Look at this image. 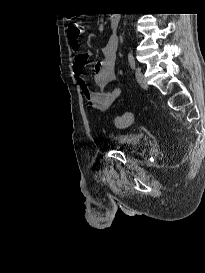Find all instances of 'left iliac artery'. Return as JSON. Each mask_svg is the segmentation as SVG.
I'll return each instance as SVG.
<instances>
[{
	"mask_svg": "<svg viewBox=\"0 0 205 273\" xmlns=\"http://www.w3.org/2000/svg\"><path fill=\"white\" fill-rule=\"evenodd\" d=\"M128 61H129V65L132 69H135L136 64H135V59L134 56L132 55V53L128 54Z\"/></svg>",
	"mask_w": 205,
	"mask_h": 273,
	"instance_id": "left-iliac-artery-1",
	"label": "left iliac artery"
}]
</instances>
